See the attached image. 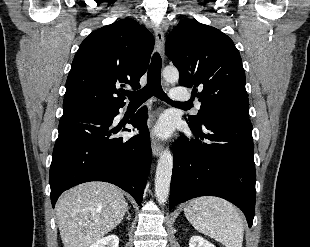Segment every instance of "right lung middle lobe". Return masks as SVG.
Returning <instances> with one entry per match:
<instances>
[{
	"instance_id": "1",
	"label": "right lung middle lobe",
	"mask_w": 310,
	"mask_h": 247,
	"mask_svg": "<svg viewBox=\"0 0 310 247\" xmlns=\"http://www.w3.org/2000/svg\"><path fill=\"white\" fill-rule=\"evenodd\" d=\"M92 110H95V109H85V110H79V111H74L72 113H77V112H86V111H92Z\"/></svg>"
}]
</instances>
